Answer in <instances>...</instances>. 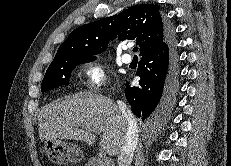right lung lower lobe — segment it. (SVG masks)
I'll return each mask as SVG.
<instances>
[{
    "instance_id": "98d812e1",
    "label": "right lung lower lobe",
    "mask_w": 231,
    "mask_h": 166,
    "mask_svg": "<svg viewBox=\"0 0 231 166\" xmlns=\"http://www.w3.org/2000/svg\"><path fill=\"white\" fill-rule=\"evenodd\" d=\"M166 42L154 52L141 57L137 75L139 87L128 83L125 96L133 113L142 120L161 122L168 118L175 102L177 90L175 37L172 26L167 23Z\"/></svg>"
}]
</instances>
